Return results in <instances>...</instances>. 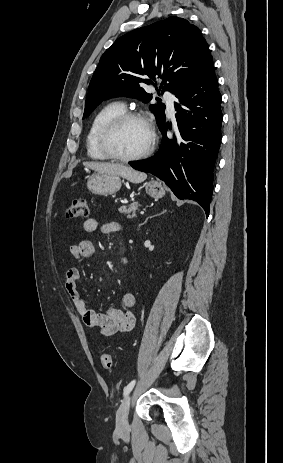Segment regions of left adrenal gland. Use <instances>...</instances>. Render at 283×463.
<instances>
[{"label": "left adrenal gland", "mask_w": 283, "mask_h": 463, "mask_svg": "<svg viewBox=\"0 0 283 463\" xmlns=\"http://www.w3.org/2000/svg\"><path fill=\"white\" fill-rule=\"evenodd\" d=\"M166 212H167V210H166V209H163L159 214H157V215H155V216L162 215V214H164V213H166ZM155 216H154V217H155ZM150 218H152V217H150ZM148 219H149V218H147V219L144 221V223H143L142 225L146 224L147 221H148Z\"/></svg>", "instance_id": "obj_1"}]
</instances>
